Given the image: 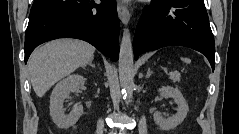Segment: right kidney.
<instances>
[{
    "mask_svg": "<svg viewBox=\"0 0 239 134\" xmlns=\"http://www.w3.org/2000/svg\"><path fill=\"white\" fill-rule=\"evenodd\" d=\"M84 83L85 78L83 76L73 74L61 80L54 87L50 97V115L59 128L66 129L73 126L83 114V106L79 105L66 115L63 103L71 92H79L80 86Z\"/></svg>",
    "mask_w": 239,
    "mask_h": 134,
    "instance_id": "right-kidney-1",
    "label": "right kidney"
}]
</instances>
